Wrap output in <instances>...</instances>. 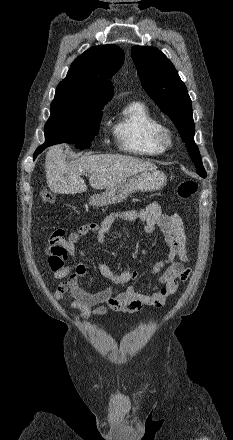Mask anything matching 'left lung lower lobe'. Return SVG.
<instances>
[{
    "label": "left lung lower lobe",
    "instance_id": "1",
    "mask_svg": "<svg viewBox=\"0 0 233 440\" xmlns=\"http://www.w3.org/2000/svg\"><path fill=\"white\" fill-rule=\"evenodd\" d=\"M198 174L200 175V176H202V177H206V172H205V170H202V171H198Z\"/></svg>",
    "mask_w": 233,
    "mask_h": 440
}]
</instances>
